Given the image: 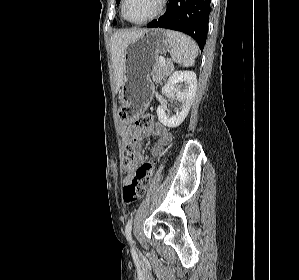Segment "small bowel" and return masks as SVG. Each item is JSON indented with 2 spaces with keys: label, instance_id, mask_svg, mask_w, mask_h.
Returning a JSON list of instances; mask_svg holds the SVG:
<instances>
[{
  "label": "small bowel",
  "instance_id": "1",
  "mask_svg": "<svg viewBox=\"0 0 299 280\" xmlns=\"http://www.w3.org/2000/svg\"><path fill=\"white\" fill-rule=\"evenodd\" d=\"M144 128L146 129L145 133H134L133 125L127 126L125 128V135L128 138L133 139L132 142L133 156L129 162L124 163V167H123V171L125 173V177L123 180L124 184L130 182L135 178L137 168L142 163H144L142 147L139 143L140 140L148 136L158 137V141L155 142L151 148V153L155 157H158L163 153L164 147L171 140V134L169 130L158 121L152 120L151 123Z\"/></svg>",
  "mask_w": 299,
  "mask_h": 280
}]
</instances>
